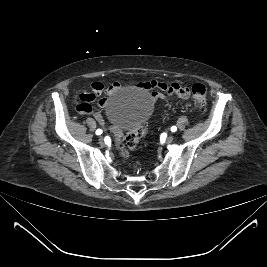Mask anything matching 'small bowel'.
Here are the masks:
<instances>
[{
	"mask_svg": "<svg viewBox=\"0 0 267 267\" xmlns=\"http://www.w3.org/2000/svg\"><path fill=\"white\" fill-rule=\"evenodd\" d=\"M139 88L145 90H151L150 100L152 104L158 103L160 100L164 99V94L175 93L178 97L186 99L188 98L190 91L187 87L182 86L178 83L172 82L168 83L163 80H150L136 85ZM118 88V84H111L110 86H105L101 82H94L91 85V91L82 93L79 96V102L76 105V109L80 113L93 114L97 121L102 122L103 117L101 112L95 110L91 103L97 99L102 93L110 94ZM107 100L101 99L99 101L100 106H105Z\"/></svg>",
	"mask_w": 267,
	"mask_h": 267,
	"instance_id": "c3829d8e",
	"label": "small bowel"
}]
</instances>
